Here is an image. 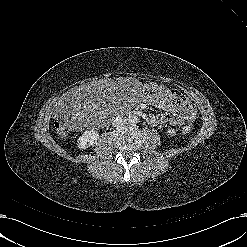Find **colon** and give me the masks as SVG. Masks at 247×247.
I'll list each match as a JSON object with an SVG mask.
<instances>
[{
	"label": "colon",
	"mask_w": 247,
	"mask_h": 247,
	"mask_svg": "<svg viewBox=\"0 0 247 247\" xmlns=\"http://www.w3.org/2000/svg\"><path fill=\"white\" fill-rule=\"evenodd\" d=\"M147 93L149 95V97H151L152 99L159 101L161 99H163L165 92L164 89L161 85L159 84H153L151 86H149ZM70 117V114H66L63 116V118L61 120L55 121L54 123V128L56 133L59 136H66L69 132V126L67 124V121ZM192 129V124H187L182 128V132L183 133H188L190 132Z\"/></svg>",
	"instance_id": "colon-1"
}]
</instances>
